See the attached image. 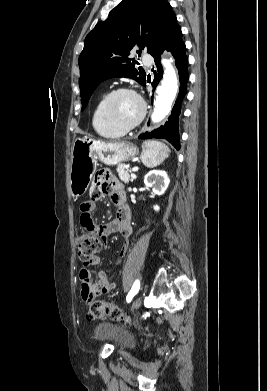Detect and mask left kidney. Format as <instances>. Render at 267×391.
Listing matches in <instances>:
<instances>
[{"instance_id":"obj_1","label":"left kidney","mask_w":267,"mask_h":391,"mask_svg":"<svg viewBox=\"0 0 267 391\" xmlns=\"http://www.w3.org/2000/svg\"><path fill=\"white\" fill-rule=\"evenodd\" d=\"M170 183V179L167 173L163 170H152L145 175L144 184L147 187L152 188V191L156 195H163L167 190ZM159 206L155 205L154 210L159 211Z\"/></svg>"}]
</instances>
